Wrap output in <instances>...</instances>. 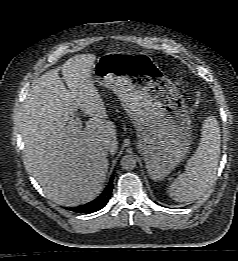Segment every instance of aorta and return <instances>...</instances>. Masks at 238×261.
I'll return each instance as SVG.
<instances>
[{
  "instance_id": "1",
  "label": "aorta",
  "mask_w": 238,
  "mask_h": 261,
  "mask_svg": "<svg viewBox=\"0 0 238 261\" xmlns=\"http://www.w3.org/2000/svg\"><path fill=\"white\" fill-rule=\"evenodd\" d=\"M136 157L134 155H125L122 157L120 165L125 170H132L136 167Z\"/></svg>"
}]
</instances>
